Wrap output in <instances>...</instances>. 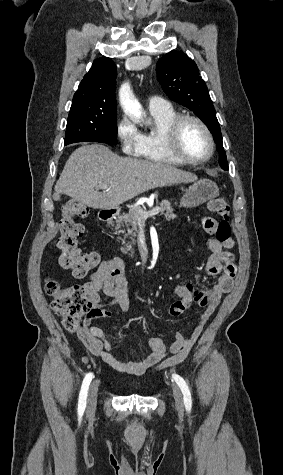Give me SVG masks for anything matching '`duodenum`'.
<instances>
[{
  "mask_svg": "<svg viewBox=\"0 0 283 475\" xmlns=\"http://www.w3.org/2000/svg\"><path fill=\"white\" fill-rule=\"evenodd\" d=\"M114 216H115V212L113 210H110V209L102 210L99 214V218L103 222L112 221Z\"/></svg>",
  "mask_w": 283,
  "mask_h": 475,
  "instance_id": "duodenum-1",
  "label": "duodenum"
}]
</instances>
